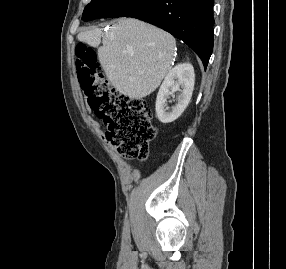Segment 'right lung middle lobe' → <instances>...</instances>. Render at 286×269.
<instances>
[{
    "instance_id": "1",
    "label": "right lung middle lobe",
    "mask_w": 286,
    "mask_h": 269,
    "mask_svg": "<svg viewBox=\"0 0 286 269\" xmlns=\"http://www.w3.org/2000/svg\"><path fill=\"white\" fill-rule=\"evenodd\" d=\"M151 0H91L85 7L82 20L128 16Z\"/></svg>"
}]
</instances>
